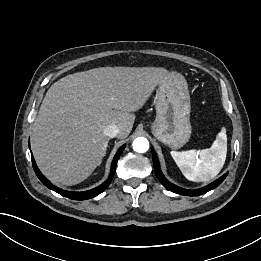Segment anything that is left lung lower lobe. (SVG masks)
<instances>
[{
    "label": "left lung lower lobe",
    "mask_w": 261,
    "mask_h": 261,
    "mask_svg": "<svg viewBox=\"0 0 261 261\" xmlns=\"http://www.w3.org/2000/svg\"><path fill=\"white\" fill-rule=\"evenodd\" d=\"M152 156H153V164H154V170L155 173L158 177V179L160 180V182L170 191L177 193V194H181V195H188V196H199L202 195L214 188H216L217 186H219L224 179L226 178V176L228 175V172L225 173L223 176H221L219 179H217L216 181L212 182L211 184L197 189V190H186L183 188H180L176 185H173L172 183H170L162 174L161 170H160V166H159V162L157 159V156L155 154V152L152 150Z\"/></svg>",
    "instance_id": "1"
}]
</instances>
